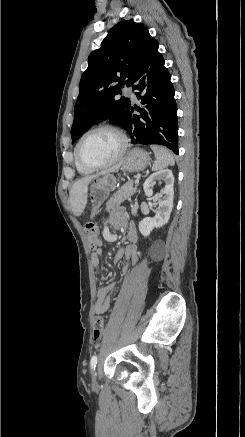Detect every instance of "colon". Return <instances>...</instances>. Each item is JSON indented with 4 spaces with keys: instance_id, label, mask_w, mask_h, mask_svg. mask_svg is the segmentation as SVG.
Instances as JSON below:
<instances>
[{
    "instance_id": "5ec220e1",
    "label": "colon",
    "mask_w": 245,
    "mask_h": 437,
    "mask_svg": "<svg viewBox=\"0 0 245 437\" xmlns=\"http://www.w3.org/2000/svg\"><path fill=\"white\" fill-rule=\"evenodd\" d=\"M85 232L87 235L89 248L91 250L96 249L99 243V232L97 225L93 222H87L85 224ZM104 327V318L101 316L96 317L93 324V336L95 339H99L102 336Z\"/></svg>"
}]
</instances>
